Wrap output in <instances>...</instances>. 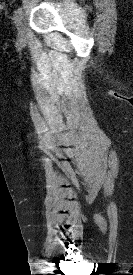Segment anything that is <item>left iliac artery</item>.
I'll return each mask as SVG.
<instances>
[{"instance_id":"obj_1","label":"left iliac artery","mask_w":133,"mask_h":275,"mask_svg":"<svg viewBox=\"0 0 133 275\" xmlns=\"http://www.w3.org/2000/svg\"><path fill=\"white\" fill-rule=\"evenodd\" d=\"M22 15V8L19 7L14 13V20L16 21Z\"/></svg>"}]
</instances>
